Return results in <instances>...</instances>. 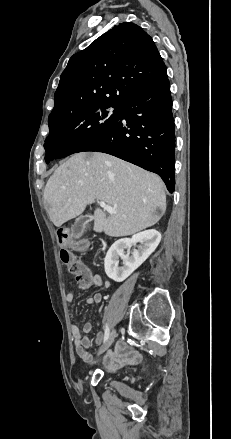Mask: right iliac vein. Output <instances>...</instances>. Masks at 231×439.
Masks as SVG:
<instances>
[{"instance_id": "63e3f726", "label": "right iliac vein", "mask_w": 231, "mask_h": 439, "mask_svg": "<svg viewBox=\"0 0 231 439\" xmlns=\"http://www.w3.org/2000/svg\"><path fill=\"white\" fill-rule=\"evenodd\" d=\"M115 336H116V330L113 329L111 331V333L109 334V337L106 340L105 344L100 348L98 355H101L102 353H104L111 346V344L113 343V341L115 339Z\"/></svg>"}]
</instances>
